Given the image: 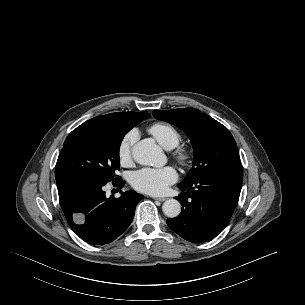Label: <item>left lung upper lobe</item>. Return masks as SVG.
<instances>
[{"label":"left lung upper lobe","instance_id":"obj_1","mask_svg":"<svg viewBox=\"0 0 305 305\" xmlns=\"http://www.w3.org/2000/svg\"><path fill=\"white\" fill-rule=\"evenodd\" d=\"M153 115L156 119L181 128L193 144V167L181 184L193 183L217 171L241 167L233 136L224 125L209 115L195 108L154 110Z\"/></svg>","mask_w":305,"mask_h":305}]
</instances>
